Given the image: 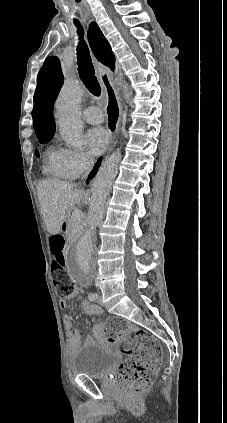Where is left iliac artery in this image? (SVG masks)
Segmentation results:
<instances>
[{"label": "left iliac artery", "mask_w": 227, "mask_h": 423, "mask_svg": "<svg viewBox=\"0 0 227 423\" xmlns=\"http://www.w3.org/2000/svg\"><path fill=\"white\" fill-rule=\"evenodd\" d=\"M88 296H89L90 301H96L97 298H98V295L96 293H93V292H90Z\"/></svg>", "instance_id": "44dca946"}]
</instances>
